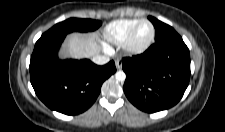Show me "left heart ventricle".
Masks as SVG:
<instances>
[{
	"instance_id": "left-heart-ventricle-1",
	"label": "left heart ventricle",
	"mask_w": 225,
	"mask_h": 132,
	"mask_svg": "<svg viewBox=\"0 0 225 132\" xmlns=\"http://www.w3.org/2000/svg\"><path fill=\"white\" fill-rule=\"evenodd\" d=\"M150 34H151L150 25L147 23H142L136 31L135 41L137 43H141V42L145 41L146 39H148Z\"/></svg>"
}]
</instances>
